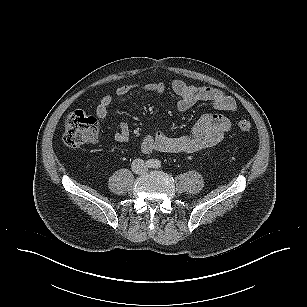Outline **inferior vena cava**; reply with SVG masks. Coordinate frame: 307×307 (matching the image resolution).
Masks as SVG:
<instances>
[{
    "instance_id": "inferior-vena-cava-1",
    "label": "inferior vena cava",
    "mask_w": 307,
    "mask_h": 307,
    "mask_svg": "<svg viewBox=\"0 0 307 307\" xmlns=\"http://www.w3.org/2000/svg\"><path fill=\"white\" fill-rule=\"evenodd\" d=\"M131 169L136 174H143L147 171V166L144 160L138 158V159L133 160Z\"/></svg>"
}]
</instances>
